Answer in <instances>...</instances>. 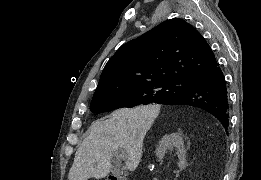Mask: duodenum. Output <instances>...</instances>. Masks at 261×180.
<instances>
[{
	"label": "duodenum",
	"instance_id": "obj_1",
	"mask_svg": "<svg viewBox=\"0 0 261 180\" xmlns=\"http://www.w3.org/2000/svg\"><path fill=\"white\" fill-rule=\"evenodd\" d=\"M108 180H128L127 177H117L116 173H111Z\"/></svg>",
	"mask_w": 261,
	"mask_h": 180
}]
</instances>
